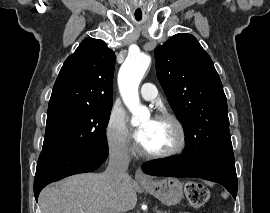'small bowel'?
Wrapping results in <instances>:
<instances>
[{
	"instance_id": "1",
	"label": "small bowel",
	"mask_w": 270,
	"mask_h": 213,
	"mask_svg": "<svg viewBox=\"0 0 270 213\" xmlns=\"http://www.w3.org/2000/svg\"><path fill=\"white\" fill-rule=\"evenodd\" d=\"M181 213H189V212H181Z\"/></svg>"
}]
</instances>
